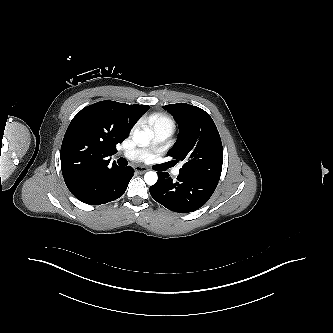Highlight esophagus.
<instances>
[{
    "label": "esophagus",
    "mask_w": 333,
    "mask_h": 333,
    "mask_svg": "<svg viewBox=\"0 0 333 333\" xmlns=\"http://www.w3.org/2000/svg\"><path fill=\"white\" fill-rule=\"evenodd\" d=\"M135 171L137 173L143 174L147 171V168H145V167H135Z\"/></svg>",
    "instance_id": "1"
}]
</instances>
